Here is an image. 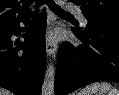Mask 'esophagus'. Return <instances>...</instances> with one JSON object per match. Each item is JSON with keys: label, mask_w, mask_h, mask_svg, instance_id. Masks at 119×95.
I'll list each match as a JSON object with an SVG mask.
<instances>
[{"label": "esophagus", "mask_w": 119, "mask_h": 95, "mask_svg": "<svg viewBox=\"0 0 119 95\" xmlns=\"http://www.w3.org/2000/svg\"><path fill=\"white\" fill-rule=\"evenodd\" d=\"M53 20H54V16L53 14H51V24ZM56 51H57V43L55 42V40H53L51 27H49L46 36V53L48 56H51V55H55Z\"/></svg>", "instance_id": "esophagus-1"}]
</instances>
